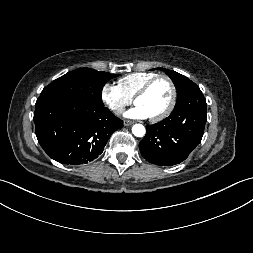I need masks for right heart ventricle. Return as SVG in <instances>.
Segmentation results:
<instances>
[{"mask_svg": "<svg viewBox=\"0 0 253 253\" xmlns=\"http://www.w3.org/2000/svg\"><path fill=\"white\" fill-rule=\"evenodd\" d=\"M157 74L148 72H135L127 74L118 80L119 87L129 97L133 98L138 90Z\"/></svg>", "mask_w": 253, "mask_h": 253, "instance_id": "1", "label": "right heart ventricle"}]
</instances>
